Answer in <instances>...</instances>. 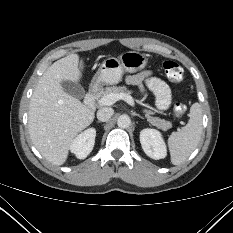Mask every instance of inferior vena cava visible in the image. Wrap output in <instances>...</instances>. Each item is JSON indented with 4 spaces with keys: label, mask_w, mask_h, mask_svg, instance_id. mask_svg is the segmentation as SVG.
<instances>
[{
    "label": "inferior vena cava",
    "mask_w": 233,
    "mask_h": 233,
    "mask_svg": "<svg viewBox=\"0 0 233 233\" xmlns=\"http://www.w3.org/2000/svg\"><path fill=\"white\" fill-rule=\"evenodd\" d=\"M114 113V110L110 107H103L97 111V119L99 121H108Z\"/></svg>",
    "instance_id": "1"
}]
</instances>
